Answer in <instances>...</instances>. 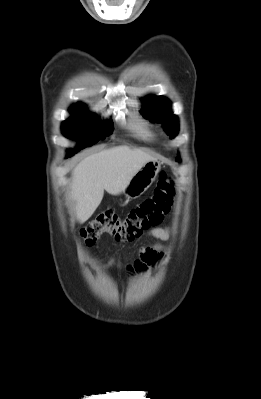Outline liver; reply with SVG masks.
<instances>
[{
  "instance_id": "obj_1",
  "label": "liver",
  "mask_w": 261,
  "mask_h": 399,
  "mask_svg": "<svg viewBox=\"0 0 261 399\" xmlns=\"http://www.w3.org/2000/svg\"><path fill=\"white\" fill-rule=\"evenodd\" d=\"M155 157L140 149L119 145L85 157L72 171V198L78 221L83 224L101 203L104 190L119 195L132 177Z\"/></svg>"
}]
</instances>
